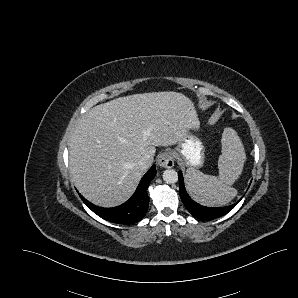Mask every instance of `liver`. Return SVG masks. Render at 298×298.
Here are the masks:
<instances>
[{
    "label": "liver",
    "instance_id": "6515ba94",
    "mask_svg": "<svg viewBox=\"0 0 298 298\" xmlns=\"http://www.w3.org/2000/svg\"><path fill=\"white\" fill-rule=\"evenodd\" d=\"M194 101L166 90L117 97L92 107L76 124L69 143V172L90 203L117 207L134 194L154 161L156 146L176 144L189 127L199 128Z\"/></svg>",
    "mask_w": 298,
    "mask_h": 298
}]
</instances>
